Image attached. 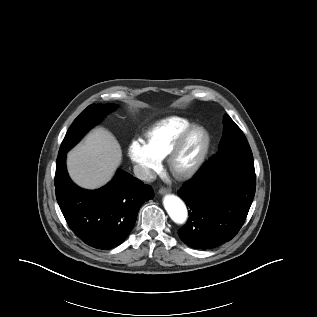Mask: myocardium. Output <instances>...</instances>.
Instances as JSON below:
<instances>
[{"mask_svg": "<svg viewBox=\"0 0 317 317\" xmlns=\"http://www.w3.org/2000/svg\"><path fill=\"white\" fill-rule=\"evenodd\" d=\"M195 134L201 136V145L195 159L185 167L177 165L178 158L183 151L187 141ZM210 146L208 131L200 125H192L186 129L175 141L167 155V166L169 171L178 179L185 180L192 177L203 164Z\"/></svg>", "mask_w": 317, "mask_h": 317, "instance_id": "1", "label": "myocardium"}]
</instances>
